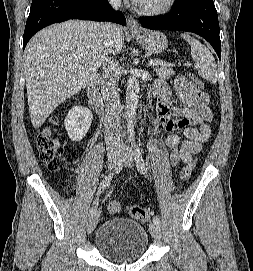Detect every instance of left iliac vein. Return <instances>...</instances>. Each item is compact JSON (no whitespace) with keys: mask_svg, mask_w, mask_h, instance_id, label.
Here are the masks:
<instances>
[{"mask_svg":"<svg viewBox=\"0 0 253 271\" xmlns=\"http://www.w3.org/2000/svg\"><path fill=\"white\" fill-rule=\"evenodd\" d=\"M122 156H123V164L128 167V168H132L134 165V151L129 148V147H124L122 149ZM150 232L152 237L156 240V241H160L161 240V228L160 225L156 224V223H151L150 224Z\"/></svg>","mask_w":253,"mask_h":271,"instance_id":"left-iliac-vein-1","label":"left iliac vein"}]
</instances>
